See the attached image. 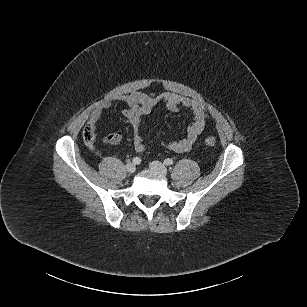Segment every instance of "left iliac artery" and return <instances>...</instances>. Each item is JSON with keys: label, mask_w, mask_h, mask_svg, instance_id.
<instances>
[{"label": "left iliac artery", "mask_w": 307, "mask_h": 307, "mask_svg": "<svg viewBox=\"0 0 307 307\" xmlns=\"http://www.w3.org/2000/svg\"><path fill=\"white\" fill-rule=\"evenodd\" d=\"M164 164L167 165V166H168V165H172V164H173V159H171V158L165 159V160H164Z\"/></svg>", "instance_id": "left-iliac-artery-1"}]
</instances>
